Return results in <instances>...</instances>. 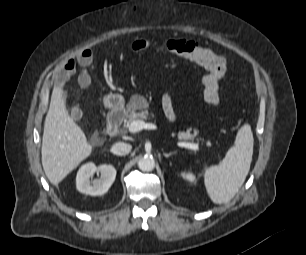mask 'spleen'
<instances>
[{"mask_svg":"<svg viewBox=\"0 0 306 255\" xmlns=\"http://www.w3.org/2000/svg\"><path fill=\"white\" fill-rule=\"evenodd\" d=\"M253 144L251 126L245 123L222 162L205 170L204 184L213 203H227L239 191L250 170Z\"/></svg>","mask_w":306,"mask_h":255,"instance_id":"obj_1","label":"spleen"}]
</instances>
